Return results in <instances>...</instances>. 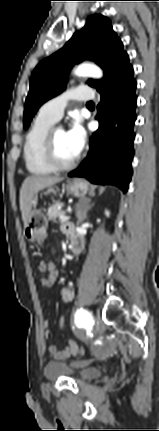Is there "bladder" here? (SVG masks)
Returning a JSON list of instances; mask_svg holds the SVG:
<instances>
[{
    "label": "bladder",
    "instance_id": "31cf9c89",
    "mask_svg": "<svg viewBox=\"0 0 159 431\" xmlns=\"http://www.w3.org/2000/svg\"><path fill=\"white\" fill-rule=\"evenodd\" d=\"M44 374L50 380L65 377L77 381H86L99 377L102 372L95 367H72L67 363L49 362L44 369Z\"/></svg>",
    "mask_w": 159,
    "mask_h": 431
}]
</instances>
